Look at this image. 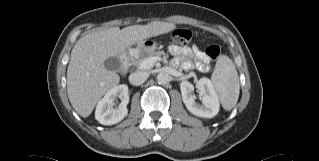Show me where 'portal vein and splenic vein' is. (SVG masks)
Instances as JSON below:
<instances>
[{
    "label": "portal vein and splenic vein",
    "mask_w": 319,
    "mask_h": 161,
    "mask_svg": "<svg viewBox=\"0 0 319 161\" xmlns=\"http://www.w3.org/2000/svg\"><path fill=\"white\" fill-rule=\"evenodd\" d=\"M159 57H150L142 61L139 65L140 69H150L154 66V64L159 61Z\"/></svg>",
    "instance_id": "18ae733b"
}]
</instances>
